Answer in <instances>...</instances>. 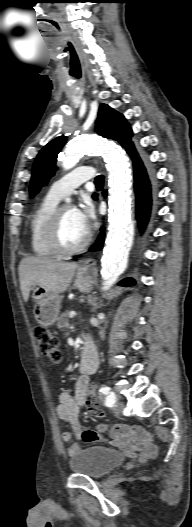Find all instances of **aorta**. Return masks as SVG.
<instances>
[{"label":"aorta","instance_id":"aorta-1","mask_svg":"<svg viewBox=\"0 0 192 527\" xmlns=\"http://www.w3.org/2000/svg\"><path fill=\"white\" fill-rule=\"evenodd\" d=\"M85 153L103 154L109 170V232L101 274L112 285L127 266L134 227L131 223V172L123 150L97 136H81L66 146L62 167L73 168Z\"/></svg>","mask_w":192,"mask_h":527}]
</instances>
